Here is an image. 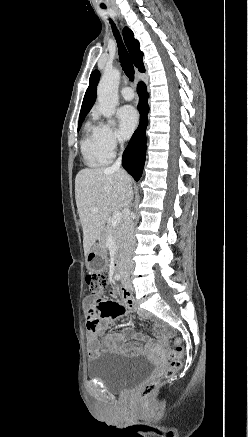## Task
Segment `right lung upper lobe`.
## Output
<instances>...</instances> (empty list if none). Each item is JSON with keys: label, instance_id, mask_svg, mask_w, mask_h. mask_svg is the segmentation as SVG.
Here are the masks:
<instances>
[{"label": "right lung upper lobe", "instance_id": "cb5924a9", "mask_svg": "<svg viewBox=\"0 0 248 437\" xmlns=\"http://www.w3.org/2000/svg\"><path fill=\"white\" fill-rule=\"evenodd\" d=\"M123 37L124 41L126 43V46L129 50V53L131 55L132 61L135 64V66L139 69L140 72H144L145 68L142 62L143 53L139 50L140 45L138 40L134 39L133 32L128 28L125 27L123 30ZM100 73L99 71L95 70L92 72L89 80V87L86 90L81 111H80V118H83L87 115V113L92 108L95 100H96V87L99 81Z\"/></svg>", "mask_w": 248, "mask_h": 437}]
</instances>
